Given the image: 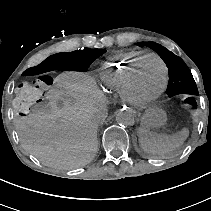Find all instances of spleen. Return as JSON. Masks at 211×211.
I'll use <instances>...</instances> for the list:
<instances>
[{"label": "spleen", "mask_w": 211, "mask_h": 211, "mask_svg": "<svg viewBox=\"0 0 211 211\" xmlns=\"http://www.w3.org/2000/svg\"><path fill=\"white\" fill-rule=\"evenodd\" d=\"M189 135L185 128L176 135L159 134L151 132L145 127L139 130V143L142 149L151 154H163L182 144Z\"/></svg>", "instance_id": "1"}]
</instances>
